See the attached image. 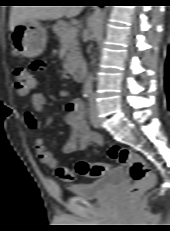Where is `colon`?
Returning a JSON list of instances; mask_svg holds the SVG:
<instances>
[{
  "instance_id": "colon-1",
  "label": "colon",
  "mask_w": 170,
  "mask_h": 231,
  "mask_svg": "<svg viewBox=\"0 0 170 231\" xmlns=\"http://www.w3.org/2000/svg\"><path fill=\"white\" fill-rule=\"evenodd\" d=\"M14 86L21 95H27L36 85V80L32 71L22 65H17L13 69ZM108 157L120 165L129 169L130 175L134 181L127 192V199L133 201L143 192L150 189L155 183V175L145 163V161L132 150L114 145L108 150ZM108 165L104 163H90L80 160L75 165V171L86 177H100L108 171ZM57 176L65 182H71L74 179V172L68 167H59L56 170Z\"/></svg>"
}]
</instances>
